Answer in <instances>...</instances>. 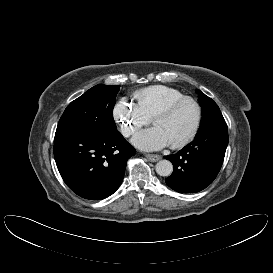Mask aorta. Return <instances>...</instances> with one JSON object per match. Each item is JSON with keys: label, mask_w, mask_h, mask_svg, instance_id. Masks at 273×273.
Segmentation results:
<instances>
[{"label": "aorta", "mask_w": 273, "mask_h": 273, "mask_svg": "<svg viewBox=\"0 0 273 273\" xmlns=\"http://www.w3.org/2000/svg\"><path fill=\"white\" fill-rule=\"evenodd\" d=\"M156 172L158 175L167 177L173 172V165L168 160H160L156 164Z\"/></svg>", "instance_id": "1"}]
</instances>
